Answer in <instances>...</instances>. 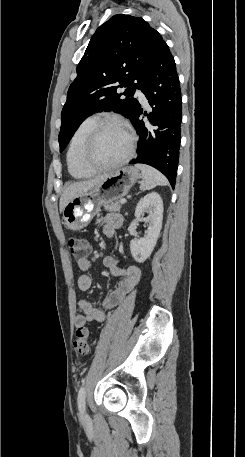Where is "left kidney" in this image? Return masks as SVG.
Wrapping results in <instances>:
<instances>
[{
  "mask_svg": "<svg viewBox=\"0 0 245 457\" xmlns=\"http://www.w3.org/2000/svg\"><path fill=\"white\" fill-rule=\"evenodd\" d=\"M149 212V216H144ZM136 218L147 220L149 226L146 237L143 239H132L130 251L137 263H144L153 253V249L159 239L163 220V200L158 192H149L140 198L135 208Z\"/></svg>",
  "mask_w": 245,
  "mask_h": 457,
  "instance_id": "5707ae66",
  "label": "left kidney"
}]
</instances>
